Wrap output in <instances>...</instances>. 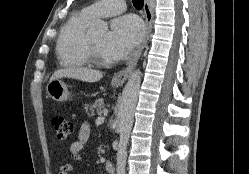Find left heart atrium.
<instances>
[{"label":"left heart atrium","mask_w":249,"mask_h":174,"mask_svg":"<svg viewBox=\"0 0 249 174\" xmlns=\"http://www.w3.org/2000/svg\"><path fill=\"white\" fill-rule=\"evenodd\" d=\"M143 27L140 20L131 15L122 16L112 23L105 48L110 61H118L141 40Z\"/></svg>","instance_id":"1"}]
</instances>
